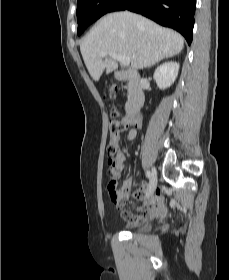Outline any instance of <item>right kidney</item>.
<instances>
[{
    "mask_svg": "<svg viewBox=\"0 0 229 280\" xmlns=\"http://www.w3.org/2000/svg\"><path fill=\"white\" fill-rule=\"evenodd\" d=\"M179 63L167 62L160 65L154 73V80L160 89L170 87L177 78L179 72Z\"/></svg>",
    "mask_w": 229,
    "mask_h": 280,
    "instance_id": "ca27d5eb",
    "label": "right kidney"
}]
</instances>
